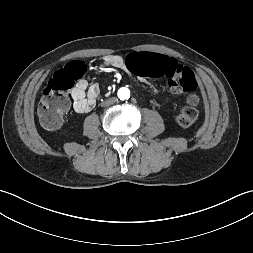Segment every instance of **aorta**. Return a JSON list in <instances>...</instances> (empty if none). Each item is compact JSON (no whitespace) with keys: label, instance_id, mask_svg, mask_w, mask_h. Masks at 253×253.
Segmentation results:
<instances>
[{"label":"aorta","instance_id":"obj_1","mask_svg":"<svg viewBox=\"0 0 253 253\" xmlns=\"http://www.w3.org/2000/svg\"><path fill=\"white\" fill-rule=\"evenodd\" d=\"M118 96L120 99L124 100V99H128L130 96V91L128 88H120L118 91Z\"/></svg>","mask_w":253,"mask_h":253}]
</instances>
